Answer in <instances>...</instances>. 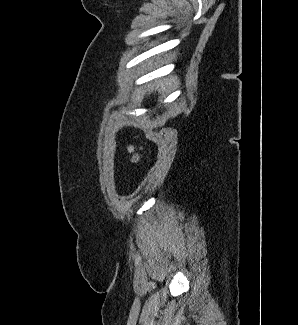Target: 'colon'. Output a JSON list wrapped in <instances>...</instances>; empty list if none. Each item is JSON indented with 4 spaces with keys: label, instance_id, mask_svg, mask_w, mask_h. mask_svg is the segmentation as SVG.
Instances as JSON below:
<instances>
[{
    "label": "colon",
    "instance_id": "5ec220e1",
    "mask_svg": "<svg viewBox=\"0 0 298 325\" xmlns=\"http://www.w3.org/2000/svg\"><path fill=\"white\" fill-rule=\"evenodd\" d=\"M128 150H129V152L132 153V161H133L134 163H138V162L141 161L142 155H141V153L138 151V148H137L136 146H134V145H130V146L128 147Z\"/></svg>",
    "mask_w": 298,
    "mask_h": 325
}]
</instances>
